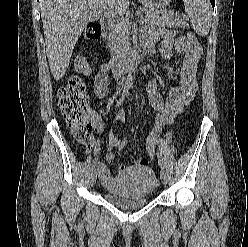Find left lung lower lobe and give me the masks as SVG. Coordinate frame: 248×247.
I'll return each mask as SVG.
<instances>
[{
	"instance_id": "obj_1",
	"label": "left lung lower lobe",
	"mask_w": 248,
	"mask_h": 247,
	"mask_svg": "<svg viewBox=\"0 0 248 247\" xmlns=\"http://www.w3.org/2000/svg\"><path fill=\"white\" fill-rule=\"evenodd\" d=\"M211 4H212V7H214L215 5V0H210Z\"/></svg>"
}]
</instances>
